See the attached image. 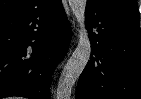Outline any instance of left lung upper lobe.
Returning a JSON list of instances; mask_svg holds the SVG:
<instances>
[{
    "mask_svg": "<svg viewBox=\"0 0 141 99\" xmlns=\"http://www.w3.org/2000/svg\"><path fill=\"white\" fill-rule=\"evenodd\" d=\"M87 3L112 13L138 15L137 0H87Z\"/></svg>",
    "mask_w": 141,
    "mask_h": 99,
    "instance_id": "1",
    "label": "left lung upper lobe"
}]
</instances>
